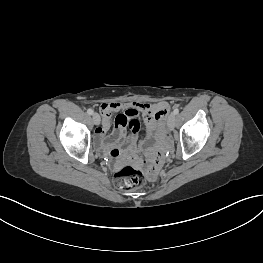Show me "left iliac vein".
<instances>
[{"mask_svg":"<svg viewBox=\"0 0 263 263\" xmlns=\"http://www.w3.org/2000/svg\"><path fill=\"white\" fill-rule=\"evenodd\" d=\"M175 123H176V115L172 112L169 116H168V120H167V125L168 128L170 130H173L175 127Z\"/></svg>","mask_w":263,"mask_h":263,"instance_id":"1","label":"left iliac vein"}]
</instances>
